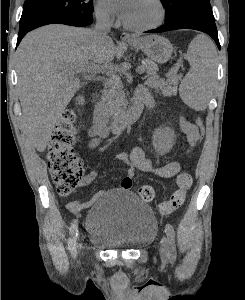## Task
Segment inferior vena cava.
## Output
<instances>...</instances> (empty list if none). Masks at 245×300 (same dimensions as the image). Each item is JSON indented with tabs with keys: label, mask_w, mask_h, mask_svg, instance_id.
Here are the masks:
<instances>
[{
	"label": "inferior vena cava",
	"mask_w": 245,
	"mask_h": 300,
	"mask_svg": "<svg viewBox=\"0 0 245 300\" xmlns=\"http://www.w3.org/2000/svg\"><path fill=\"white\" fill-rule=\"evenodd\" d=\"M111 26H112V22H111L108 14H106V13L97 14L96 26L94 29L95 38L99 42H103V41L109 39L107 34L110 31Z\"/></svg>",
	"instance_id": "inferior-vena-cava-1"
}]
</instances>
